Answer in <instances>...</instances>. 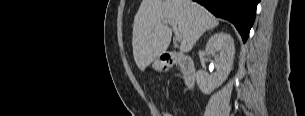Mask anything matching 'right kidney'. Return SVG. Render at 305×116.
I'll list each match as a JSON object with an SVG mask.
<instances>
[{
    "label": "right kidney",
    "instance_id": "obj_1",
    "mask_svg": "<svg viewBox=\"0 0 305 116\" xmlns=\"http://www.w3.org/2000/svg\"><path fill=\"white\" fill-rule=\"evenodd\" d=\"M205 51L207 55L214 57L216 73L209 75L203 70H198L196 81L202 93L207 95L222 85L233 68L235 55L234 40L228 33H216L208 40ZM217 52L220 55L216 54Z\"/></svg>",
    "mask_w": 305,
    "mask_h": 116
}]
</instances>
